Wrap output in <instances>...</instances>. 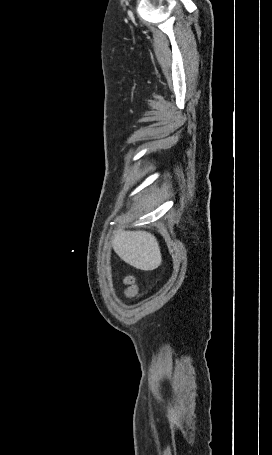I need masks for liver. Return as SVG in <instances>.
Listing matches in <instances>:
<instances>
[{
    "label": "liver",
    "instance_id": "6515ba94",
    "mask_svg": "<svg viewBox=\"0 0 272 455\" xmlns=\"http://www.w3.org/2000/svg\"><path fill=\"white\" fill-rule=\"evenodd\" d=\"M112 247L117 255L129 265L152 271L162 262L156 237L146 231H118L112 238Z\"/></svg>",
    "mask_w": 272,
    "mask_h": 455
}]
</instances>
